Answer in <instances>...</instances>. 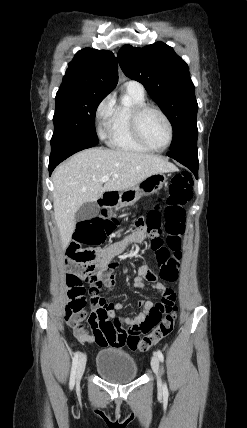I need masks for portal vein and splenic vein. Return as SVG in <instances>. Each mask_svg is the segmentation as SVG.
I'll list each match as a JSON object with an SVG mask.
<instances>
[{"mask_svg":"<svg viewBox=\"0 0 247 428\" xmlns=\"http://www.w3.org/2000/svg\"><path fill=\"white\" fill-rule=\"evenodd\" d=\"M110 179V176L109 175H105V176H103L101 179H100V181L101 182H106V181H108Z\"/></svg>","mask_w":247,"mask_h":428,"instance_id":"18ae733b","label":"portal vein and splenic vein"}]
</instances>
